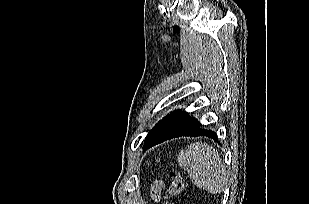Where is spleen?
<instances>
[{"label": "spleen", "mask_w": 309, "mask_h": 204, "mask_svg": "<svg viewBox=\"0 0 309 204\" xmlns=\"http://www.w3.org/2000/svg\"><path fill=\"white\" fill-rule=\"evenodd\" d=\"M179 166L187 171L197 188L220 193L227 181V171L216 149L207 143L190 144L178 154Z\"/></svg>", "instance_id": "1"}]
</instances>
